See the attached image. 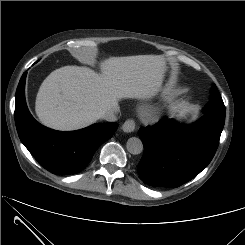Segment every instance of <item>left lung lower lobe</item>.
Wrapping results in <instances>:
<instances>
[{
  "instance_id": "left-lung-lower-lobe-1",
  "label": "left lung lower lobe",
  "mask_w": 245,
  "mask_h": 245,
  "mask_svg": "<svg viewBox=\"0 0 245 245\" xmlns=\"http://www.w3.org/2000/svg\"><path fill=\"white\" fill-rule=\"evenodd\" d=\"M225 119L206 114L181 126L163 118L139 129L144 154L137 166L140 178L155 187L176 188L198 175L212 160Z\"/></svg>"
}]
</instances>
